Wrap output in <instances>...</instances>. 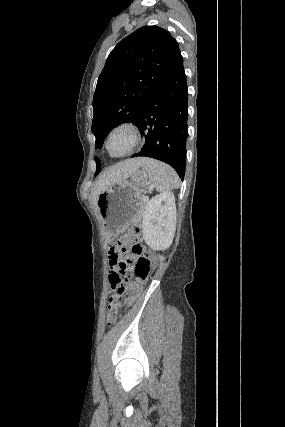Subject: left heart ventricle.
<instances>
[{"instance_id": "1", "label": "left heart ventricle", "mask_w": 285, "mask_h": 427, "mask_svg": "<svg viewBox=\"0 0 285 427\" xmlns=\"http://www.w3.org/2000/svg\"><path fill=\"white\" fill-rule=\"evenodd\" d=\"M132 145V136L127 130L115 132L109 140V148L113 153H123Z\"/></svg>"}]
</instances>
